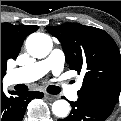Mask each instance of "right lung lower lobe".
<instances>
[{
    "label": "right lung lower lobe",
    "mask_w": 121,
    "mask_h": 121,
    "mask_svg": "<svg viewBox=\"0 0 121 121\" xmlns=\"http://www.w3.org/2000/svg\"><path fill=\"white\" fill-rule=\"evenodd\" d=\"M7 97L1 89V121H21L28 103L35 98H42L43 93L37 91H9Z\"/></svg>",
    "instance_id": "obj_1"
}]
</instances>
